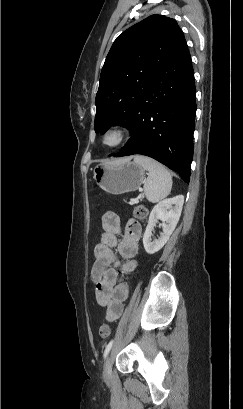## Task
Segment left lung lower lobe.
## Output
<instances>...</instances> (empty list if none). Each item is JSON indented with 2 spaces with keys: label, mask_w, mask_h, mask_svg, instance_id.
I'll return each mask as SVG.
<instances>
[{
  "label": "left lung lower lobe",
  "mask_w": 243,
  "mask_h": 409,
  "mask_svg": "<svg viewBox=\"0 0 243 409\" xmlns=\"http://www.w3.org/2000/svg\"><path fill=\"white\" fill-rule=\"evenodd\" d=\"M196 88L185 39L152 79L128 129L131 138L119 153L142 154L179 173L188 183L193 158Z\"/></svg>",
  "instance_id": "obj_1"
}]
</instances>
